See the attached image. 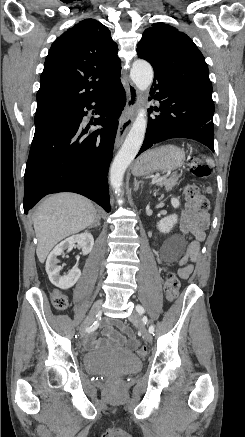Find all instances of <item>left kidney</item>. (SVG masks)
I'll list each match as a JSON object with an SVG mask.
<instances>
[{"label": "left kidney", "instance_id": "left-kidney-1", "mask_svg": "<svg viewBox=\"0 0 245 437\" xmlns=\"http://www.w3.org/2000/svg\"><path fill=\"white\" fill-rule=\"evenodd\" d=\"M171 204L174 208H178L180 206L179 200L174 197L171 199ZM177 220L178 217L176 214L164 217L158 222L157 228L161 233H169L173 226L177 223Z\"/></svg>", "mask_w": 245, "mask_h": 437}]
</instances>
